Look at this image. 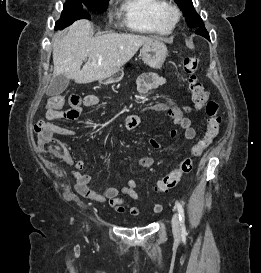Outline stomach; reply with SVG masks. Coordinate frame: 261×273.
Returning a JSON list of instances; mask_svg holds the SVG:
<instances>
[{
	"label": "stomach",
	"instance_id": "1",
	"mask_svg": "<svg viewBox=\"0 0 261 273\" xmlns=\"http://www.w3.org/2000/svg\"><path fill=\"white\" fill-rule=\"evenodd\" d=\"M140 51L144 63L152 68H161L168 55L166 45L158 40H152L144 43ZM123 77L124 72L122 69H119L111 76L100 81L106 84L116 83L121 81Z\"/></svg>",
	"mask_w": 261,
	"mask_h": 273
}]
</instances>
